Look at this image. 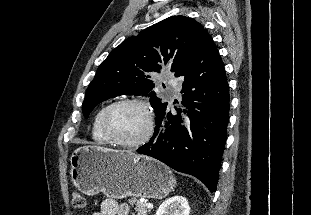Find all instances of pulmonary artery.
Segmentation results:
<instances>
[{
    "mask_svg": "<svg viewBox=\"0 0 311 215\" xmlns=\"http://www.w3.org/2000/svg\"><path fill=\"white\" fill-rule=\"evenodd\" d=\"M166 81L169 84V86L171 87L173 95L178 96L180 94V91H181L180 83L176 79L171 78V77H168Z\"/></svg>",
    "mask_w": 311,
    "mask_h": 215,
    "instance_id": "1",
    "label": "pulmonary artery"
}]
</instances>
